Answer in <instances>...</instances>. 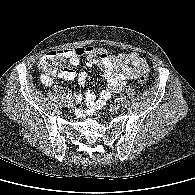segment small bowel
Wrapping results in <instances>:
<instances>
[{
    "instance_id": "obj_1",
    "label": "small bowel",
    "mask_w": 195,
    "mask_h": 195,
    "mask_svg": "<svg viewBox=\"0 0 195 195\" xmlns=\"http://www.w3.org/2000/svg\"><path fill=\"white\" fill-rule=\"evenodd\" d=\"M58 52L67 58L73 67L79 66L81 58L85 57L87 66L98 65L103 69V76L107 81V89L98 95L92 91L86 92L87 107L78 109L79 117H87L101 110L106 106L112 94L120 92L128 81L149 72L146 60L135 52L116 55L107 49L92 46ZM60 77L66 80L77 79L78 83L83 85L86 83L88 75L85 71L76 72L73 69H66L60 74ZM77 98L81 99V96L78 95Z\"/></svg>"
}]
</instances>
